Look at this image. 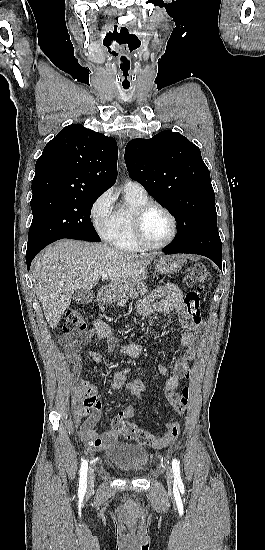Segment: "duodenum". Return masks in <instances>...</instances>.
Masks as SVG:
<instances>
[{
	"label": "duodenum",
	"mask_w": 265,
	"mask_h": 550,
	"mask_svg": "<svg viewBox=\"0 0 265 550\" xmlns=\"http://www.w3.org/2000/svg\"><path fill=\"white\" fill-rule=\"evenodd\" d=\"M110 291L98 292V301L100 303H105L109 299Z\"/></svg>",
	"instance_id": "1"
}]
</instances>
